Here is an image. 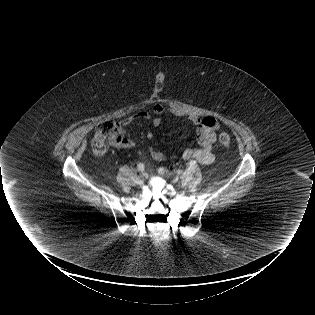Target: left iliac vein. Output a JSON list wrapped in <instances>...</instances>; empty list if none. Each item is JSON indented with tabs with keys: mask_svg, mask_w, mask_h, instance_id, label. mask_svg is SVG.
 <instances>
[{
	"mask_svg": "<svg viewBox=\"0 0 315 315\" xmlns=\"http://www.w3.org/2000/svg\"><path fill=\"white\" fill-rule=\"evenodd\" d=\"M159 174L166 177L167 179L172 180V182L176 183L179 180L178 176H174L172 175L168 170L164 169V168H160L159 169Z\"/></svg>",
	"mask_w": 315,
	"mask_h": 315,
	"instance_id": "obj_1",
	"label": "left iliac vein"
}]
</instances>
